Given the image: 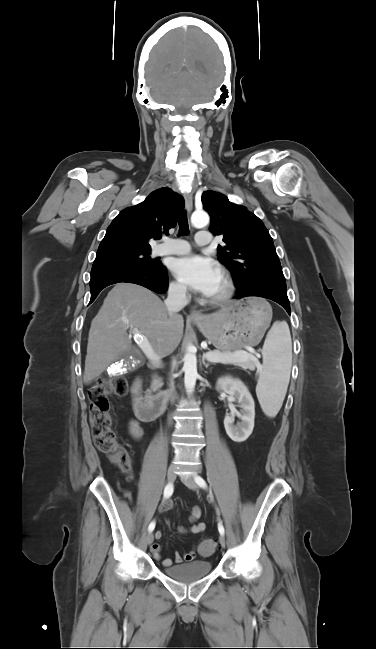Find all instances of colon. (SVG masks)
<instances>
[{"label": "colon", "mask_w": 376, "mask_h": 649, "mask_svg": "<svg viewBox=\"0 0 376 649\" xmlns=\"http://www.w3.org/2000/svg\"><path fill=\"white\" fill-rule=\"evenodd\" d=\"M128 391V382L123 376H107L101 378L87 390L89 401V422L92 437L96 447L108 455L111 461L117 464L122 472L131 477L133 475V460L115 432L111 428L108 397L110 395L123 396ZM217 548L214 540L203 541L198 551L202 555H210Z\"/></svg>", "instance_id": "colon-1"}]
</instances>
